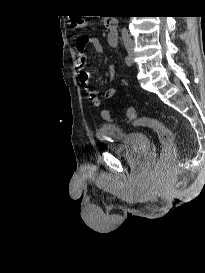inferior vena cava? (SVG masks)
Segmentation results:
<instances>
[{
	"label": "inferior vena cava",
	"mask_w": 205,
	"mask_h": 273,
	"mask_svg": "<svg viewBox=\"0 0 205 273\" xmlns=\"http://www.w3.org/2000/svg\"><path fill=\"white\" fill-rule=\"evenodd\" d=\"M122 39L126 48H131L133 46V42L126 28L122 29Z\"/></svg>",
	"instance_id": "602c4592"
}]
</instances>
